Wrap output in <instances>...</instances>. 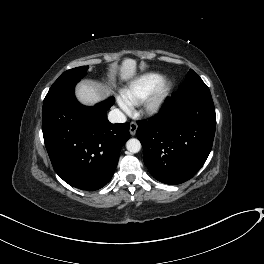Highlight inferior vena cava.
I'll return each mask as SVG.
<instances>
[{"instance_id": "602c4592", "label": "inferior vena cava", "mask_w": 264, "mask_h": 264, "mask_svg": "<svg viewBox=\"0 0 264 264\" xmlns=\"http://www.w3.org/2000/svg\"><path fill=\"white\" fill-rule=\"evenodd\" d=\"M108 120L111 123H124L126 122L127 118L119 109H113L108 114Z\"/></svg>"}]
</instances>
